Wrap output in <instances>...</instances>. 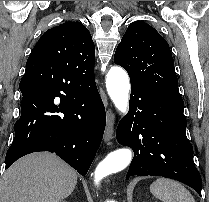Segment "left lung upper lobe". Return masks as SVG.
<instances>
[{
  "label": "left lung upper lobe",
  "mask_w": 209,
  "mask_h": 202,
  "mask_svg": "<svg viewBox=\"0 0 209 202\" xmlns=\"http://www.w3.org/2000/svg\"><path fill=\"white\" fill-rule=\"evenodd\" d=\"M114 62L125 68L131 84L161 95L181 98L169 45L147 23L135 21L129 25L116 49Z\"/></svg>",
  "instance_id": "1"
}]
</instances>
